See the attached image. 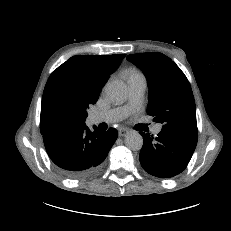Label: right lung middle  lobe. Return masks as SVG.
Segmentation results:
<instances>
[{
	"label": "right lung middle lobe",
	"mask_w": 231,
	"mask_h": 231,
	"mask_svg": "<svg viewBox=\"0 0 231 231\" xmlns=\"http://www.w3.org/2000/svg\"><path fill=\"white\" fill-rule=\"evenodd\" d=\"M98 97L83 93L65 72H53L45 85L42 103L41 134L75 128L85 123L89 105Z\"/></svg>",
	"instance_id": "1"
}]
</instances>
